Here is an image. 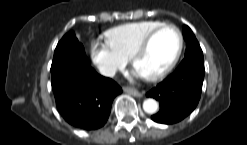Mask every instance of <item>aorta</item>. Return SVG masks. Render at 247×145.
I'll return each mask as SVG.
<instances>
[{
  "instance_id": "aorta-1",
  "label": "aorta",
  "mask_w": 247,
  "mask_h": 145,
  "mask_svg": "<svg viewBox=\"0 0 247 145\" xmlns=\"http://www.w3.org/2000/svg\"><path fill=\"white\" fill-rule=\"evenodd\" d=\"M143 109L148 114H154L158 110V102L154 99H146L143 102Z\"/></svg>"
}]
</instances>
